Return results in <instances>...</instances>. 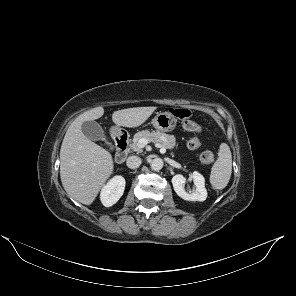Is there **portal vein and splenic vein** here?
<instances>
[{
  "label": "portal vein and splenic vein",
  "instance_id": "obj_1",
  "mask_svg": "<svg viewBox=\"0 0 296 296\" xmlns=\"http://www.w3.org/2000/svg\"><path fill=\"white\" fill-rule=\"evenodd\" d=\"M148 143H149V141H148L147 139L142 138V139H140V140L138 141V147L142 149V148H144ZM160 152H161V153H165V152H166V149L162 147V148L160 149Z\"/></svg>",
  "mask_w": 296,
  "mask_h": 296
}]
</instances>
